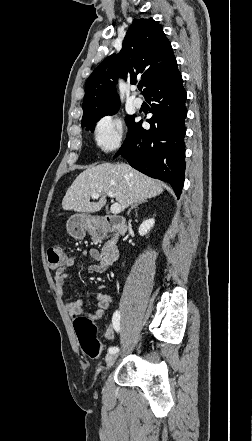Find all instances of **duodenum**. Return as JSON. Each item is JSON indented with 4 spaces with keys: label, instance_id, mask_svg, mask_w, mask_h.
Masks as SVG:
<instances>
[{
    "label": "duodenum",
    "instance_id": "obj_1",
    "mask_svg": "<svg viewBox=\"0 0 252 441\" xmlns=\"http://www.w3.org/2000/svg\"><path fill=\"white\" fill-rule=\"evenodd\" d=\"M99 222L108 229L116 230L119 233L123 234L126 232V224L125 221L117 216H104L99 219ZM102 233L100 228L95 230L96 236H100ZM119 250L115 243H110L106 248L101 252V260L106 266L112 265L118 258Z\"/></svg>",
    "mask_w": 252,
    "mask_h": 441
}]
</instances>
